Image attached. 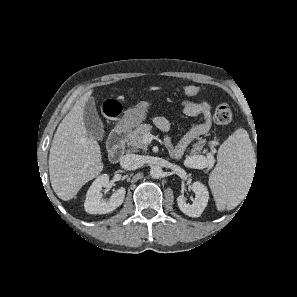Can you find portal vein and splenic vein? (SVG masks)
I'll return each mask as SVG.
<instances>
[{
    "label": "portal vein and splenic vein",
    "instance_id": "1",
    "mask_svg": "<svg viewBox=\"0 0 297 297\" xmlns=\"http://www.w3.org/2000/svg\"><path fill=\"white\" fill-rule=\"evenodd\" d=\"M152 139H153V135L152 134L147 133V134L144 135V141L146 143H150L152 141ZM197 157H200V156H197Z\"/></svg>",
    "mask_w": 297,
    "mask_h": 297
}]
</instances>
